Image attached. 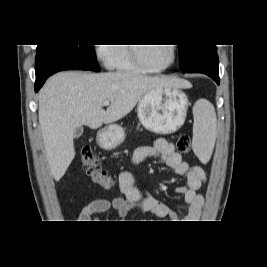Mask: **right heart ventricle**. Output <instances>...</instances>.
I'll return each instance as SVG.
<instances>
[{"label":"right heart ventricle","mask_w":267,"mask_h":267,"mask_svg":"<svg viewBox=\"0 0 267 267\" xmlns=\"http://www.w3.org/2000/svg\"><path fill=\"white\" fill-rule=\"evenodd\" d=\"M122 45V44H119ZM111 66L119 72H141L131 59L130 50L127 46H114Z\"/></svg>","instance_id":"1"}]
</instances>
